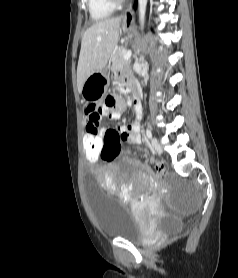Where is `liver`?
I'll return each mask as SVG.
<instances>
[{"label": "liver", "mask_w": 238, "mask_h": 278, "mask_svg": "<svg viewBox=\"0 0 238 278\" xmlns=\"http://www.w3.org/2000/svg\"><path fill=\"white\" fill-rule=\"evenodd\" d=\"M121 18L115 17L98 21L83 34L77 67V87L81 93L86 79L102 71L119 41Z\"/></svg>", "instance_id": "liver-1"}]
</instances>
